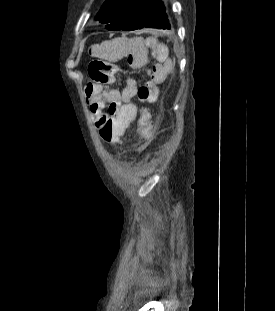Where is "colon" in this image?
I'll list each match as a JSON object with an SVG mask.
<instances>
[{
	"instance_id": "5ec220e1",
	"label": "colon",
	"mask_w": 275,
	"mask_h": 311,
	"mask_svg": "<svg viewBox=\"0 0 275 311\" xmlns=\"http://www.w3.org/2000/svg\"><path fill=\"white\" fill-rule=\"evenodd\" d=\"M92 51L96 52L98 48ZM88 73L96 82H107L116 73V67L106 60L94 59L88 66ZM157 95L158 89L151 81L144 83L137 90V97L141 102L154 103ZM129 124V118L101 119L100 137L105 143L116 145L120 140L121 130H129Z\"/></svg>"
}]
</instances>
